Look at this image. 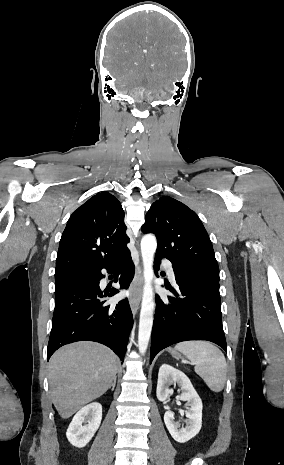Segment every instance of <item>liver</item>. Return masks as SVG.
Masks as SVG:
<instances>
[{
  "label": "liver",
  "mask_w": 284,
  "mask_h": 465,
  "mask_svg": "<svg viewBox=\"0 0 284 465\" xmlns=\"http://www.w3.org/2000/svg\"><path fill=\"white\" fill-rule=\"evenodd\" d=\"M49 369L52 403L62 419H69L110 389L116 355L96 343H73L54 353Z\"/></svg>",
  "instance_id": "1"
}]
</instances>
